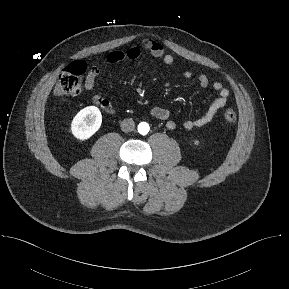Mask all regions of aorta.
<instances>
[{
  "label": "aorta",
  "mask_w": 289,
  "mask_h": 289,
  "mask_svg": "<svg viewBox=\"0 0 289 289\" xmlns=\"http://www.w3.org/2000/svg\"><path fill=\"white\" fill-rule=\"evenodd\" d=\"M149 125L146 122H141L138 125V132L142 135H146L149 132Z\"/></svg>",
  "instance_id": "1"
}]
</instances>
